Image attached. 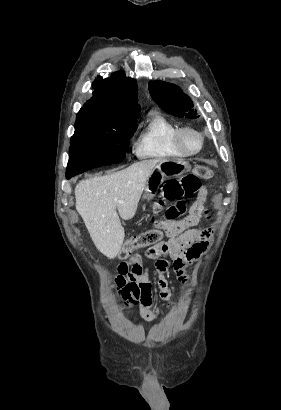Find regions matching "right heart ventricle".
<instances>
[{"instance_id": "right-heart-ventricle-1", "label": "right heart ventricle", "mask_w": 281, "mask_h": 410, "mask_svg": "<svg viewBox=\"0 0 281 410\" xmlns=\"http://www.w3.org/2000/svg\"><path fill=\"white\" fill-rule=\"evenodd\" d=\"M180 127L166 116L151 112L136 143L139 158L169 159L186 156L176 145Z\"/></svg>"}]
</instances>
